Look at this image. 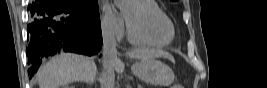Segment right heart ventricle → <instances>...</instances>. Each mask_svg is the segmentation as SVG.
Masks as SVG:
<instances>
[{"label":"right heart ventricle","mask_w":267,"mask_h":88,"mask_svg":"<svg viewBox=\"0 0 267 88\" xmlns=\"http://www.w3.org/2000/svg\"><path fill=\"white\" fill-rule=\"evenodd\" d=\"M138 3L143 4L145 7L152 11H156L162 14V16L165 18V20L169 21V17L161 10L159 5L154 1V0H135ZM129 39L132 43L134 44H139V45H149V46H163L165 44L163 43H156V42H151V41H146L143 39H139L137 37L129 35Z\"/></svg>","instance_id":"right-heart-ventricle-1"}]
</instances>
